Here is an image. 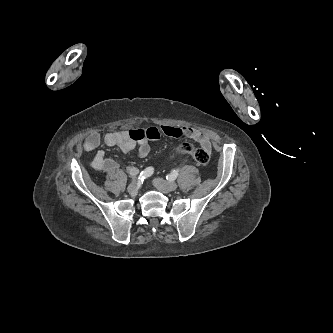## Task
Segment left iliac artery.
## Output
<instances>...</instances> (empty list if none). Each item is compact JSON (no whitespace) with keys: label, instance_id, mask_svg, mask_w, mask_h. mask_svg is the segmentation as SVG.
Masks as SVG:
<instances>
[{"label":"left iliac artery","instance_id":"1","mask_svg":"<svg viewBox=\"0 0 333 333\" xmlns=\"http://www.w3.org/2000/svg\"><path fill=\"white\" fill-rule=\"evenodd\" d=\"M179 174V169H175L171 172V174L168 176L170 180H175Z\"/></svg>","mask_w":333,"mask_h":333}]
</instances>
